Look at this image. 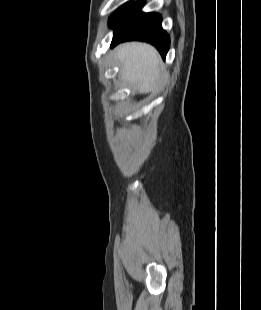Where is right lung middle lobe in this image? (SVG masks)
Returning a JSON list of instances; mask_svg holds the SVG:
<instances>
[{
  "instance_id": "1",
  "label": "right lung middle lobe",
  "mask_w": 261,
  "mask_h": 310,
  "mask_svg": "<svg viewBox=\"0 0 261 310\" xmlns=\"http://www.w3.org/2000/svg\"><path fill=\"white\" fill-rule=\"evenodd\" d=\"M131 2L129 3H126L125 5H123L121 8H119L111 17H110V22L128 5L130 4Z\"/></svg>"
}]
</instances>
